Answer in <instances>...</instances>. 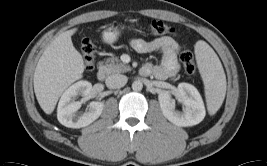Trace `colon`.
Segmentation results:
<instances>
[{
	"instance_id": "1",
	"label": "colon",
	"mask_w": 267,
	"mask_h": 166,
	"mask_svg": "<svg viewBox=\"0 0 267 166\" xmlns=\"http://www.w3.org/2000/svg\"><path fill=\"white\" fill-rule=\"evenodd\" d=\"M150 31L154 35H166L172 33L173 28L162 20H153L150 24ZM81 51L86 69L92 70L95 65L94 43L90 39H84L81 44ZM180 60L188 74H196L197 67L193 60L192 53L189 50L183 49L181 51Z\"/></svg>"
}]
</instances>
